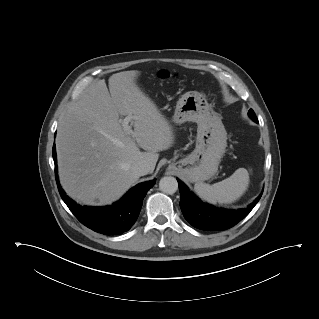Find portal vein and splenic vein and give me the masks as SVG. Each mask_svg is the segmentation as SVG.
Listing matches in <instances>:
<instances>
[{"label": "portal vein and splenic vein", "mask_w": 319, "mask_h": 319, "mask_svg": "<svg viewBox=\"0 0 319 319\" xmlns=\"http://www.w3.org/2000/svg\"><path fill=\"white\" fill-rule=\"evenodd\" d=\"M132 116H127L123 120H121V124L126 132L133 133L131 127L129 126V122L132 120Z\"/></svg>", "instance_id": "18ae733b"}]
</instances>
